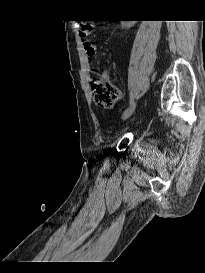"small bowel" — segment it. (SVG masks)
Instances as JSON below:
<instances>
[{
	"mask_svg": "<svg viewBox=\"0 0 205 273\" xmlns=\"http://www.w3.org/2000/svg\"><path fill=\"white\" fill-rule=\"evenodd\" d=\"M83 48H84L85 53L89 57H97L98 50H97L96 46H94L90 42H88V41L84 42L83 43ZM105 76L109 78V74L108 73H106Z\"/></svg>",
	"mask_w": 205,
	"mask_h": 273,
	"instance_id": "small-bowel-1",
	"label": "small bowel"
}]
</instances>
